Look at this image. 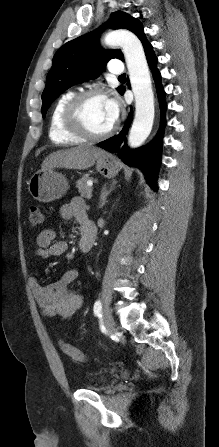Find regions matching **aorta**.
<instances>
[{"instance_id":"obj_1","label":"aorta","mask_w":219,"mask_h":447,"mask_svg":"<svg viewBox=\"0 0 219 447\" xmlns=\"http://www.w3.org/2000/svg\"><path fill=\"white\" fill-rule=\"evenodd\" d=\"M104 43L111 47L120 46L124 53L135 97V117L128 143L136 148L147 139L154 121V94L143 46L136 35L122 29L106 34Z\"/></svg>"}]
</instances>
